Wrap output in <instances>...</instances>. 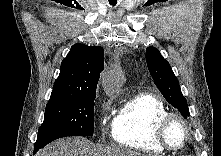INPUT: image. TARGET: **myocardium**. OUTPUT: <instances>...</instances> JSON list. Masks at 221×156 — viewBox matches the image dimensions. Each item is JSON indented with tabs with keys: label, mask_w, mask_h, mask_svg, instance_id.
I'll list each match as a JSON object with an SVG mask.
<instances>
[{
	"label": "myocardium",
	"mask_w": 221,
	"mask_h": 156,
	"mask_svg": "<svg viewBox=\"0 0 221 156\" xmlns=\"http://www.w3.org/2000/svg\"><path fill=\"white\" fill-rule=\"evenodd\" d=\"M173 119H177L179 120L183 127H184V131H185V138L184 141L182 143L181 146L179 147H173L171 146L166 138V130L167 127L170 123V121H172ZM155 136L157 141L159 142V144L166 150L169 151H180L182 149H184L186 147V145L188 144L189 138H190V126L188 121L179 113L176 112H167L165 115H163L160 120L157 122L156 125V130H155Z\"/></svg>",
	"instance_id": "obj_1"
}]
</instances>
